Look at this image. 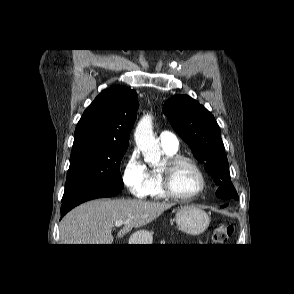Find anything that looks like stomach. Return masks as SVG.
<instances>
[{"instance_id": "0dacf381", "label": "stomach", "mask_w": 294, "mask_h": 294, "mask_svg": "<svg viewBox=\"0 0 294 294\" xmlns=\"http://www.w3.org/2000/svg\"><path fill=\"white\" fill-rule=\"evenodd\" d=\"M175 220L179 228L190 235L203 233L210 223V219L205 211L195 206L181 207L176 213ZM150 234V232L142 230L138 231L135 236L141 243Z\"/></svg>"}]
</instances>
